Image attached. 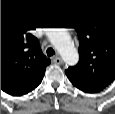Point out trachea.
<instances>
[{"label":"trachea","mask_w":115,"mask_h":114,"mask_svg":"<svg viewBox=\"0 0 115 114\" xmlns=\"http://www.w3.org/2000/svg\"><path fill=\"white\" fill-rule=\"evenodd\" d=\"M53 55H55V51L52 49V48H48L47 49V56H53Z\"/></svg>","instance_id":"3493384b"}]
</instances>
